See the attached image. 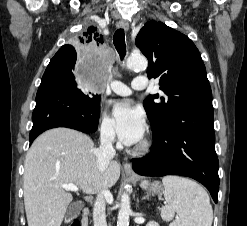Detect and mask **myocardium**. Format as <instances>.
Wrapping results in <instances>:
<instances>
[{
	"label": "myocardium",
	"instance_id": "obj_1",
	"mask_svg": "<svg viewBox=\"0 0 247 226\" xmlns=\"http://www.w3.org/2000/svg\"><path fill=\"white\" fill-rule=\"evenodd\" d=\"M152 140L150 137H146L140 144L132 149L134 155H145L150 152L152 148Z\"/></svg>",
	"mask_w": 247,
	"mask_h": 226
}]
</instances>
